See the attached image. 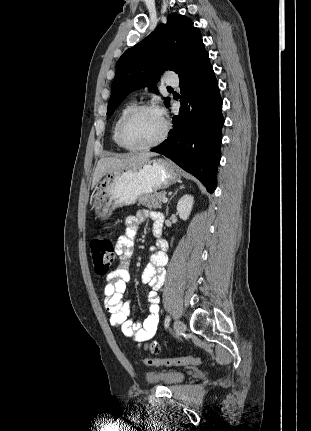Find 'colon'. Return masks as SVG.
<instances>
[{
  "instance_id": "obj_1",
  "label": "colon",
  "mask_w": 311,
  "mask_h": 431,
  "mask_svg": "<svg viewBox=\"0 0 311 431\" xmlns=\"http://www.w3.org/2000/svg\"><path fill=\"white\" fill-rule=\"evenodd\" d=\"M90 253L96 273L99 275L108 273L115 257L112 241L104 235L95 236L90 242ZM151 348L154 351L158 350L155 344ZM143 362L148 366H187L200 365L202 360L199 357L186 356L171 359L146 358Z\"/></svg>"
}]
</instances>
